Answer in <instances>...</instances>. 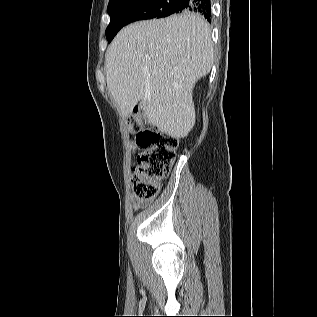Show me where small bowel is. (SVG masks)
Listing matches in <instances>:
<instances>
[{
  "label": "small bowel",
  "instance_id": "c3829d8e",
  "mask_svg": "<svg viewBox=\"0 0 317 317\" xmlns=\"http://www.w3.org/2000/svg\"><path fill=\"white\" fill-rule=\"evenodd\" d=\"M145 204L146 203L144 201H139L135 197L132 198V205H133L134 210H137V209L143 207Z\"/></svg>",
  "mask_w": 317,
  "mask_h": 317
}]
</instances>
